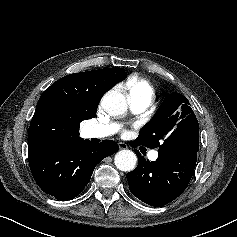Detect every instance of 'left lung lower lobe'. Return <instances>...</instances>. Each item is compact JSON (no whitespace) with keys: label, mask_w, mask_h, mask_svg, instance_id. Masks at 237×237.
<instances>
[{"label":"left lung lower lobe","mask_w":237,"mask_h":237,"mask_svg":"<svg viewBox=\"0 0 237 237\" xmlns=\"http://www.w3.org/2000/svg\"><path fill=\"white\" fill-rule=\"evenodd\" d=\"M137 141L132 143L136 147ZM199 136L194 137L177 152H158L156 161L146 160L138 150V166L127 174L131 193L154 207L166 205L176 199L188 186L193 175Z\"/></svg>","instance_id":"obj_1"}]
</instances>
